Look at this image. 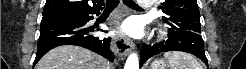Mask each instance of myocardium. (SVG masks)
I'll return each mask as SVG.
<instances>
[{"mask_svg":"<svg viewBox=\"0 0 246 69\" xmlns=\"http://www.w3.org/2000/svg\"><path fill=\"white\" fill-rule=\"evenodd\" d=\"M161 37H162V38L165 37V33H161Z\"/></svg>","mask_w":246,"mask_h":69,"instance_id":"myocardium-1","label":"myocardium"}]
</instances>
